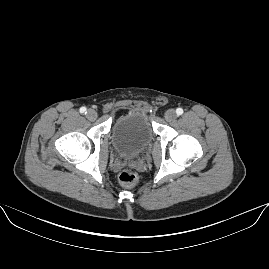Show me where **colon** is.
<instances>
[{"instance_id": "obj_1", "label": "colon", "mask_w": 269, "mask_h": 269, "mask_svg": "<svg viewBox=\"0 0 269 269\" xmlns=\"http://www.w3.org/2000/svg\"><path fill=\"white\" fill-rule=\"evenodd\" d=\"M119 181L124 186L133 187L138 182V177L134 171L126 168L120 172Z\"/></svg>"}]
</instances>
